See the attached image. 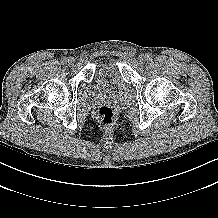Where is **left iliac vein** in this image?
Returning a JSON list of instances; mask_svg holds the SVG:
<instances>
[{
	"label": "left iliac vein",
	"instance_id": "1",
	"mask_svg": "<svg viewBox=\"0 0 218 218\" xmlns=\"http://www.w3.org/2000/svg\"><path fill=\"white\" fill-rule=\"evenodd\" d=\"M138 60L141 64H143L147 60V57L144 54H140Z\"/></svg>",
	"mask_w": 218,
	"mask_h": 218
}]
</instances>
